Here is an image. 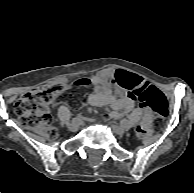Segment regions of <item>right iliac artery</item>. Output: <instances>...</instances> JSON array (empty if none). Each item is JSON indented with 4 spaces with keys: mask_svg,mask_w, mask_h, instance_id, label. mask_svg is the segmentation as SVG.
Returning <instances> with one entry per match:
<instances>
[{
    "mask_svg": "<svg viewBox=\"0 0 194 193\" xmlns=\"http://www.w3.org/2000/svg\"><path fill=\"white\" fill-rule=\"evenodd\" d=\"M81 120V117H75L72 119V122H77V121H80Z\"/></svg>",
    "mask_w": 194,
    "mask_h": 193,
    "instance_id": "82829eb1",
    "label": "right iliac artery"
}]
</instances>
